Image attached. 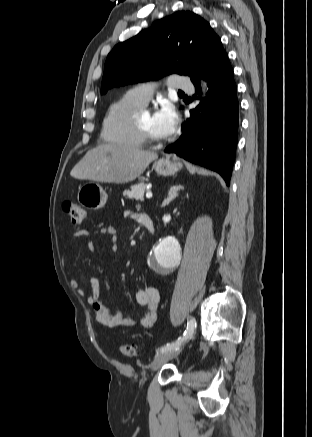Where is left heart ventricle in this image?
<instances>
[{
	"label": "left heart ventricle",
	"mask_w": 312,
	"mask_h": 437,
	"mask_svg": "<svg viewBox=\"0 0 312 437\" xmlns=\"http://www.w3.org/2000/svg\"><path fill=\"white\" fill-rule=\"evenodd\" d=\"M139 122L142 127L147 130L154 138L164 140L165 137L157 130L154 122V115L150 113H142L139 116Z\"/></svg>",
	"instance_id": "1"
}]
</instances>
